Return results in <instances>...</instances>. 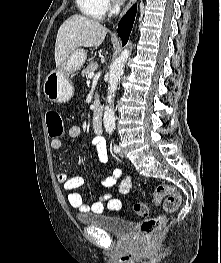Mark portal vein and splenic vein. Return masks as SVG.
Listing matches in <instances>:
<instances>
[{"instance_id":"1","label":"portal vein and splenic vein","mask_w":221,"mask_h":263,"mask_svg":"<svg viewBox=\"0 0 221 263\" xmlns=\"http://www.w3.org/2000/svg\"><path fill=\"white\" fill-rule=\"evenodd\" d=\"M94 77V72H92V73H90L89 75H88V78L89 79H92Z\"/></svg>"}]
</instances>
